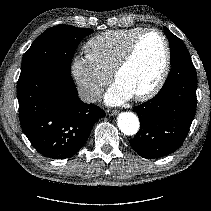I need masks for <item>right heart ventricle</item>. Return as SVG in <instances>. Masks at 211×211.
I'll use <instances>...</instances> for the list:
<instances>
[{"mask_svg":"<svg viewBox=\"0 0 211 211\" xmlns=\"http://www.w3.org/2000/svg\"><path fill=\"white\" fill-rule=\"evenodd\" d=\"M142 29L134 27L101 33L91 38L86 43L85 49L103 71L112 74L115 65Z\"/></svg>","mask_w":211,"mask_h":211,"instance_id":"obj_1","label":"right heart ventricle"}]
</instances>
